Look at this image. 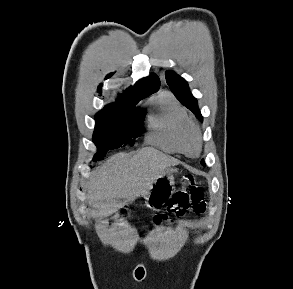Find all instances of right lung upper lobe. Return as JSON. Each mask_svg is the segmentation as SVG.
<instances>
[{"label": "right lung upper lobe", "instance_id": "right-lung-upper-lobe-1", "mask_svg": "<svg viewBox=\"0 0 293 289\" xmlns=\"http://www.w3.org/2000/svg\"><path fill=\"white\" fill-rule=\"evenodd\" d=\"M160 87L159 78L152 74L148 78H144L138 81L133 87L130 86L124 94L120 95L119 99L116 103L111 105H116L123 102H130V101H140L144 97L151 95L152 93L156 92ZM110 105V106H111Z\"/></svg>", "mask_w": 293, "mask_h": 289}]
</instances>
